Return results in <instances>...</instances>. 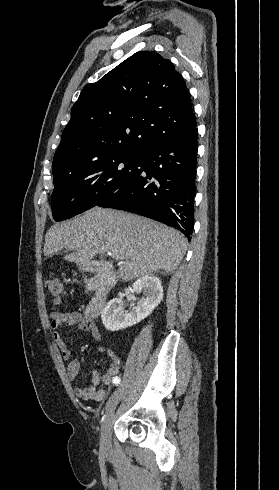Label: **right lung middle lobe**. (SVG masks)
I'll return each instance as SVG.
<instances>
[{"instance_id":"right-lung-middle-lobe-1","label":"right lung middle lobe","mask_w":279,"mask_h":490,"mask_svg":"<svg viewBox=\"0 0 279 490\" xmlns=\"http://www.w3.org/2000/svg\"><path fill=\"white\" fill-rule=\"evenodd\" d=\"M141 159V156L111 152L67 175L55 177L51 198L54 219H69L113 195L141 174Z\"/></svg>"}]
</instances>
